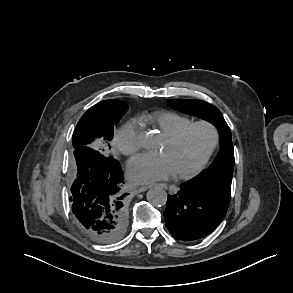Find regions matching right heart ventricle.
I'll return each mask as SVG.
<instances>
[{
	"instance_id": "e07e8e85",
	"label": "right heart ventricle",
	"mask_w": 293,
	"mask_h": 293,
	"mask_svg": "<svg viewBox=\"0 0 293 293\" xmlns=\"http://www.w3.org/2000/svg\"><path fill=\"white\" fill-rule=\"evenodd\" d=\"M149 119L166 137L193 122L189 117L171 111L155 112L151 114Z\"/></svg>"
}]
</instances>
